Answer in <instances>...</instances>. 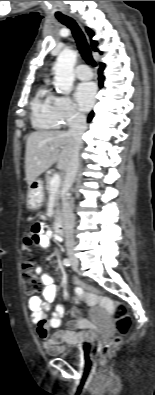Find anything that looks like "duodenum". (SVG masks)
<instances>
[{"instance_id":"410a0bca","label":"duodenum","mask_w":155,"mask_h":395,"mask_svg":"<svg viewBox=\"0 0 155 395\" xmlns=\"http://www.w3.org/2000/svg\"><path fill=\"white\" fill-rule=\"evenodd\" d=\"M54 229L58 236L63 237L65 234L64 222L61 218H57L54 223Z\"/></svg>"}]
</instances>
